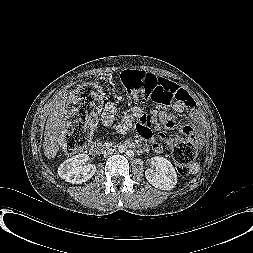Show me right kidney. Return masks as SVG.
Here are the masks:
<instances>
[{
	"instance_id": "ca27d5eb",
	"label": "right kidney",
	"mask_w": 253,
	"mask_h": 253,
	"mask_svg": "<svg viewBox=\"0 0 253 253\" xmlns=\"http://www.w3.org/2000/svg\"><path fill=\"white\" fill-rule=\"evenodd\" d=\"M88 154H78L65 160L58 168V175L69 183L81 184L96 172V166L87 164Z\"/></svg>"
}]
</instances>
